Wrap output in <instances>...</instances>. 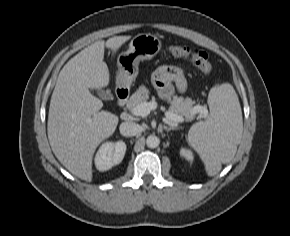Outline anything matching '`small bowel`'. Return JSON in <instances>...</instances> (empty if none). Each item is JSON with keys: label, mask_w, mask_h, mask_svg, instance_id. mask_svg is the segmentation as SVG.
<instances>
[{"label": "small bowel", "mask_w": 290, "mask_h": 236, "mask_svg": "<svg viewBox=\"0 0 290 236\" xmlns=\"http://www.w3.org/2000/svg\"><path fill=\"white\" fill-rule=\"evenodd\" d=\"M153 83L160 96L165 100H170L176 91L178 93L186 91V71L178 65H163L154 72Z\"/></svg>", "instance_id": "c3829d8e"}]
</instances>
